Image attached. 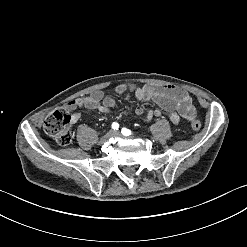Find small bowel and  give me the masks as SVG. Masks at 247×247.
Instances as JSON below:
<instances>
[{
    "mask_svg": "<svg viewBox=\"0 0 247 247\" xmlns=\"http://www.w3.org/2000/svg\"><path fill=\"white\" fill-rule=\"evenodd\" d=\"M115 92L119 95L132 94L141 101H153L160 109L150 111L144 115L145 121H150L152 117L161 116V110L168 112L169 119L173 124H178L180 115L186 122L194 121L197 118V109L192 106L189 93L180 87L173 85L146 84L139 86L135 83H122L115 87ZM115 105V100L110 96H105L101 90H96L89 96L71 100L65 104L67 111H75L79 108L98 110L102 113H109ZM134 113L143 115L142 106H137ZM74 121L80 118L79 113H75Z\"/></svg>",
    "mask_w": 247,
    "mask_h": 247,
    "instance_id": "small-bowel-1",
    "label": "small bowel"
}]
</instances>
